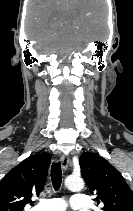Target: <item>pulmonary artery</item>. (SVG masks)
<instances>
[{"label":"pulmonary artery","mask_w":133,"mask_h":211,"mask_svg":"<svg viewBox=\"0 0 133 211\" xmlns=\"http://www.w3.org/2000/svg\"><path fill=\"white\" fill-rule=\"evenodd\" d=\"M70 205L73 209L87 211L90 207L89 199L84 194H74L71 197ZM66 202L61 198L42 199L31 211H65Z\"/></svg>","instance_id":"pulmonary-artery-1"}]
</instances>
